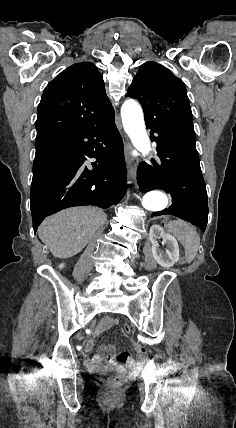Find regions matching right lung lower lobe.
<instances>
[{"instance_id":"right-lung-lower-lobe-1","label":"right lung lower lobe","mask_w":236,"mask_h":428,"mask_svg":"<svg viewBox=\"0 0 236 428\" xmlns=\"http://www.w3.org/2000/svg\"><path fill=\"white\" fill-rule=\"evenodd\" d=\"M36 144L30 193L34 232L46 216L62 209L108 208L123 198L126 167L114 114ZM87 158L97 159L92 170L83 165Z\"/></svg>"}]
</instances>
